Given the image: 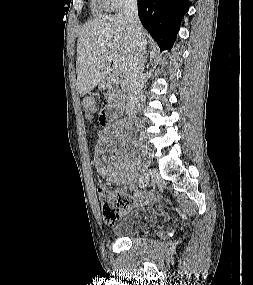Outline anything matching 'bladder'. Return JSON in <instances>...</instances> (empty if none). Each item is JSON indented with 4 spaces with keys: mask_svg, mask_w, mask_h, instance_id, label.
<instances>
[{
    "mask_svg": "<svg viewBox=\"0 0 253 285\" xmlns=\"http://www.w3.org/2000/svg\"><path fill=\"white\" fill-rule=\"evenodd\" d=\"M160 220V213L153 208L140 206L126 210L113 225L112 232L120 238H131L155 227Z\"/></svg>",
    "mask_w": 253,
    "mask_h": 285,
    "instance_id": "bladder-1",
    "label": "bladder"
}]
</instances>
